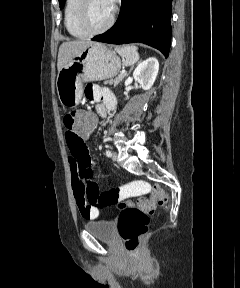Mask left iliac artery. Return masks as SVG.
Wrapping results in <instances>:
<instances>
[{
    "label": "left iliac artery",
    "mask_w": 240,
    "mask_h": 288,
    "mask_svg": "<svg viewBox=\"0 0 240 288\" xmlns=\"http://www.w3.org/2000/svg\"><path fill=\"white\" fill-rule=\"evenodd\" d=\"M106 156L107 157H111L112 156V152L110 150H106Z\"/></svg>",
    "instance_id": "left-iliac-artery-1"
}]
</instances>
